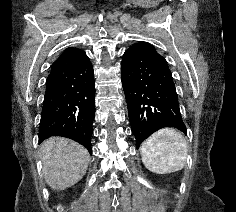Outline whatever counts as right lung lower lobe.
<instances>
[{"instance_id":"obj_1","label":"right lung lower lobe","mask_w":236,"mask_h":212,"mask_svg":"<svg viewBox=\"0 0 236 212\" xmlns=\"http://www.w3.org/2000/svg\"><path fill=\"white\" fill-rule=\"evenodd\" d=\"M95 117L93 66L86 53L72 48L51 65L41 112L39 142L51 136L70 138L90 153Z\"/></svg>"}]
</instances>
